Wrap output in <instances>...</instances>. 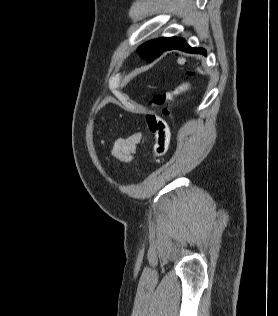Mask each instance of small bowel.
Segmentation results:
<instances>
[{"label":"small bowel","mask_w":278,"mask_h":316,"mask_svg":"<svg viewBox=\"0 0 278 316\" xmlns=\"http://www.w3.org/2000/svg\"><path fill=\"white\" fill-rule=\"evenodd\" d=\"M144 140L145 137L141 132H135L126 138H117L111 145V155L121 162L129 163Z\"/></svg>","instance_id":"obj_1"}]
</instances>
